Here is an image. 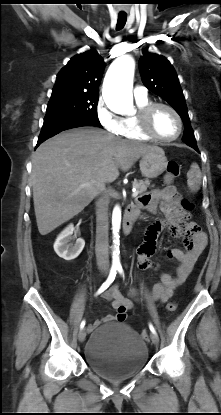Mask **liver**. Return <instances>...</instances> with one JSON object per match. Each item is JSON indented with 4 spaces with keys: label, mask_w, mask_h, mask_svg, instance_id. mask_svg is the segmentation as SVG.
Returning <instances> with one entry per match:
<instances>
[{
    "label": "liver",
    "mask_w": 221,
    "mask_h": 415,
    "mask_svg": "<svg viewBox=\"0 0 221 415\" xmlns=\"http://www.w3.org/2000/svg\"><path fill=\"white\" fill-rule=\"evenodd\" d=\"M159 147L127 141L93 127L62 132L42 143L32 157L31 180L38 230L47 235L79 214L119 168L129 170ZM90 184V186L81 185Z\"/></svg>",
    "instance_id": "obj_1"
}]
</instances>
